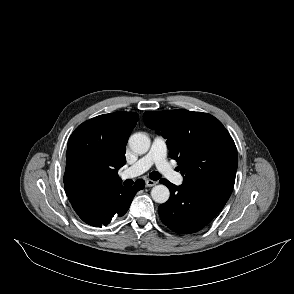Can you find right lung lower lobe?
I'll use <instances>...</instances> for the list:
<instances>
[{
  "instance_id": "1",
  "label": "right lung lower lobe",
  "mask_w": 294,
  "mask_h": 294,
  "mask_svg": "<svg viewBox=\"0 0 294 294\" xmlns=\"http://www.w3.org/2000/svg\"><path fill=\"white\" fill-rule=\"evenodd\" d=\"M144 186L143 180H137L134 186L121 185L100 191L93 200L72 207L85 223L94 227L106 226L113 217H121L127 212L135 194Z\"/></svg>"
}]
</instances>
